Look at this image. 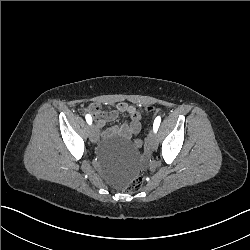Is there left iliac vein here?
Masks as SVG:
<instances>
[{"label":"left iliac vein","instance_id":"1","mask_svg":"<svg viewBox=\"0 0 250 250\" xmlns=\"http://www.w3.org/2000/svg\"><path fill=\"white\" fill-rule=\"evenodd\" d=\"M147 143H148V146L154 150L157 148V138H156V135L154 133L153 130H151L147 136Z\"/></svg>","mask_w":250,"mask_h":250}]
</instances>
